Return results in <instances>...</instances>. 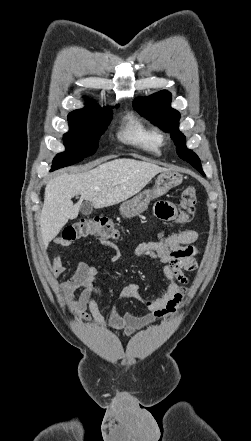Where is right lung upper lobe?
<instances>
[{
    "label": "right lung upper lobe",
    "instance_id": "obj_1",
    "mask_svg": "<svg viewBox=\"0 0 251 441\" xmlns=\"http://www.w3.org/2000/svg\"><path fill=\"white\" fill-rule=\"evenodd\" d=\"M81 109H79V110H76V111H73V112H71L70 114H74V113H77L78 111H80Z\"/></svg>",
    "mask_w": 251,
    "mask_h": 441
}]
</instances>
